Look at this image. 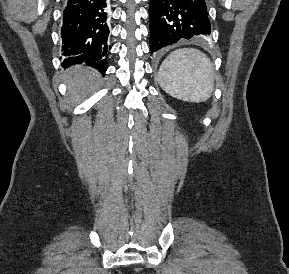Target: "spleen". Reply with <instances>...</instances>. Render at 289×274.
Returning a JSON list of instances; mask_svg holds the SVG:
<instances>
[{"instance_id":"3e777b00","label":"spleen","mask_w":289,"mask_h":274,"mask_svg":"<svg viewBox=\"0 0 289 274\" xmlns=\"http://www.w3.org/2000/svg\"><path fill=\"white\" fill-rule=\"evenodd\" d=\"M158 81L177 99L204 102L214 90V68L201 51L184 48L172 52L161 64Z\"/></svg>"}]
</instances>
